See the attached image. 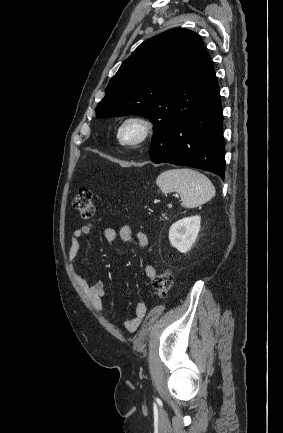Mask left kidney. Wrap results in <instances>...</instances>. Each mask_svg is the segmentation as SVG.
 Returning a JSON list of instances; mask_svg holds the SVG:
<instances>
[{
  "mask_svg": "<svg viewBox=\"0 0 283 433\" xmlns=\"http://www.w3.org/2000/svg\"><path fill=\"white\" fill-rule=\"evenodd\" d=\"M200 216L183 218L173 223L169 229L171 245L181 253L189 251L200 231Z\"/></svg>",
  "mask_w": 283,
  "mask_h": 433,
  "instance_id": "obj_1",
  "label": "left kidney"
}]
</instances>
